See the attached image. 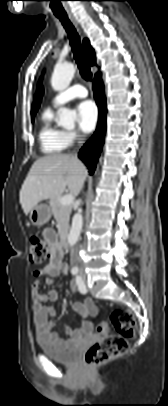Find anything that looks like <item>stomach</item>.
<instances>
[{"mask_svg":"<svg viewBox=\"0 0 168 406\" xmlns=\"http://www.w3.org/2000/svg\"><path fill=\"white\" fill-rule=\"evenodd\" d=\"M30 221L33 225L42 226L51 218V208L46 204L36 205L30 211Z\"/></svg>","mask_w":168,"mask_h":406,"instance_id":"stomach-1","label":"stomach"}]
</instances>
